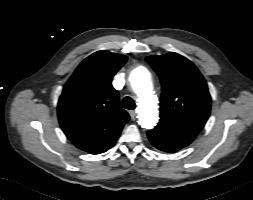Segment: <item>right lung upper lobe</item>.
Returning a JSON list of instances; mask_svg holds the SVG:
<instances>
[{"label":"right lung upper lobe","mask_w":253,"mask_h":200,"mask_svg":"<svg viewBox=\"0 0 253 200\" xmlns=\"http://www.w3.org/2000/svg\"><path fill=\"white\" fill-rule=\"evenodd\" d=\"M127 57L101 50L87 57L67 81L58 102L62 130L79 149L100 154L112 147L128 113L111 84Z\"/></svg>","instance_id":"cb5924a9"}]
</instances>
